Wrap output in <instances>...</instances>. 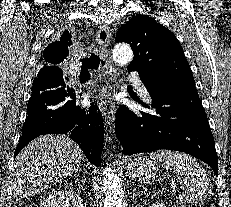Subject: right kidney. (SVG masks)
<instances>
[{"label":"right kidney","instance_id":"obj_1","mask_svg":"<svg viewBox=\"0 0 231 207\" xmlns=\"http://www.w3.org/2000/svg\"><path fill=\"white\" fill-rule=\"evenodd\" d=\"M40 207H83L80 196L72 190H58L49 194Z\"/></svg>","mask_w":231,"mask_h":207}]
</instances>
